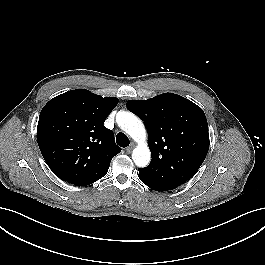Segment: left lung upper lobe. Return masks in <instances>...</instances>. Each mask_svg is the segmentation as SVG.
<instances>
[{
  "instance_id": "left-lung-upper-lobe-1",
  "label": "left lung upper lobe",
  "mask_w": 265,
  "mask_h": 265,
  "mask_svg": "<svg viewBox=\"0 0 265 265\" xmlns=\"http://www.w3.org/2000/svg\"><path fill=\"white\" fill-rule=\"evenodd\" d=\"M127 108L143 119L152 159L139 174L175 189L192 178L206 158L209 133L203 110L188 99L164 93L148 100H129Z\"/></svg>"
}]
</instances>
